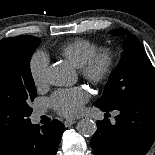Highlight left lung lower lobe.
I'll list each match as a JSON object with an SVG mask.
<instances>
[{"label":"left lung lower lobe","mask_w":155,"mask_h":155,"mask_svg":"<svg viewBox=\"0 0 155 155\" xmlns=\"http://www.w3.org/2000/svg\"><path fill=\"white\" fill-rule=\"evenodd\" d=\"M115 110L120 111L115 124L106 118L97 121L91 140L94 154L145 155L155 140V94L130 99Z\"/></svg>","instance_id":"left-lung-lower-lobe-1"}]
</instances>
